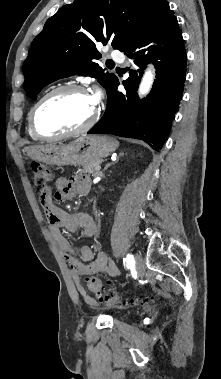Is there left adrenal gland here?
Returning <instances> with one entry per match:
<instances>
[{
  "mask_svg": "<svg viewBox=\"0 0 221 379\" xmlns=\"http://www.w3.org/2000/svg\"><path fill=\"white\" fill-rule=\"evenodd\" d=\"M124 155V153L123 152H121L120 154H119V157H121V156H123ZM119 157H118V159H119ZM118 159L115 161V162H113V163H108L106 166H105V168L103 169V171H105L109 166H111L112 164H115V163H117L118 162Z\"/></svg>",
  "mask_w": 221,
  "mask_h": 379,
  "instance_id": "obj_1",
  "label": "left adrenal gland"
}]
</instances>
